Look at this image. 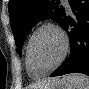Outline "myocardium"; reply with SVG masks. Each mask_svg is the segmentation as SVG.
Segmentation results:
<instances>
[{
  "label": "myocardium",
  "mask_w": 89,
  "mask_h": 89,
  "mask_svg": "<svg viewBox=\"0 0 89 89\" xmlns=\"http://www.w3.org/2000/svg\"><path fill=\"white\" fill-rule=\"evenodd\" d=\"M44 28L54 29L60 35V37L62 39L63 47H62V52H61L59 59L51 67L44 69V70H36L34 68L32 58H31V46H32L33 40H34L35 36L37 35V33ZM68 50H69V40H68V37H67L66 33L64 32V30L53 22H44L41 25H39L31 34V36L28 40V43H27L26 58H27L28 65L31 68V70H33L40 76H43L45 74L50 73L51 71H53L54 69H56L58 66H60L63 63V61L65 60V58L67 56Z\"/></svg>",
  "instance_id": "1"
}]
</instances>
